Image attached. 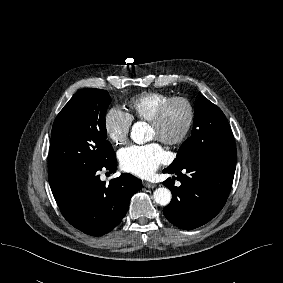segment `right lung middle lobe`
I'll list each match as a JSON object with an SVG mask.
<instances>
[{"instance_id":"dd1d6c3e","label":"right lung middle lobe","mask_w":283,"mask_h":283,"mask_svg":"<svg viewBox=\"0 0 283 283\" xmlns=\"http://www.w3.org/2000/svg\"><path fill=\"white\" fill-rule=\"evenodd\" d=\"M107 91L86 88L73 95L57 115L49 150V183L105 165L114 155L106 139Z\"/></svg>"}]
</instances>
